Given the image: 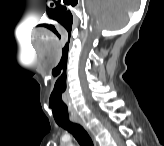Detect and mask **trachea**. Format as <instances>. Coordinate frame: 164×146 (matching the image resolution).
<instances>
[{"label":"trachea","mask_w":164,"mask_h":146,"mask_svg":"<svg viewBox=\"0 0 164 146\" xmlns=\"http://www.w3.org/2000/svg\"><path fill=\"white\" fill-rule=\"evenodd\" d=\"M57 124L70 132L80 146H93L90 136L80 124L72 123L69 120L61 122L57 121Z\"/></svg>","instance_id":"1"}]
</instances>
